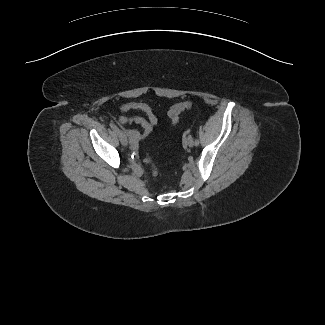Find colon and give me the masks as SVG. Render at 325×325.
I'll list each match as a JSON object with an SVG mask.
<instances>
[{"label": "colon", "mask_w": 325, "mask_h": 325, "mask_svg": "<svg viewBox=\"0 0 325 325\" xmlns=\"http://www.w3.org/2000/svg\"><path fill=\"white\" fill-rule=\"evenodd\" d=\"M192 106V103L189 102V101H184V102H180V103H177L175 105H173L169 112H168V115H169V118H170V121L173 125H176L179 121V118H180V114L185 110V109H188ZM145 162L147 164H149L151 167H152V173L153 174H156L157 173V169L154 167V165L152 164V160L150 157H146L145 158Z\"/></svg>", "instance_id": "1"}]
</instances>
